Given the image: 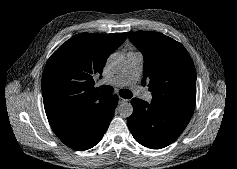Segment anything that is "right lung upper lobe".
<instances>
[{
	"mask_svg": "<svg viewBox=\"0 0 237 169\" xmlns=\"http://www.w3.org/2000/svg\"><path fill=\"white\" fill-rule=\"evenodd\" d=\"M126 37V33H79L50 56L42 76L44 108L49 123L97 91L93 74L102 73L108 57Z\"/></svg>",
	"mask_w": 237,
	"mask_h": 169,
	"instance_id": "obj_1",
	"label": "right lung upper lobe"
}]
</instances>
